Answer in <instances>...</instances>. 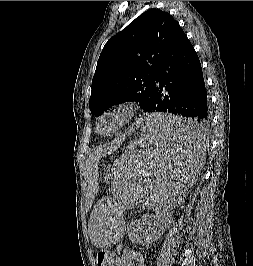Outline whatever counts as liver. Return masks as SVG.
<instances>
[{
  "instance_id": "obj_1",
  "label": "liver",
  "mask_w": 253,
  "mask_h": 266,
  "mask_svg": "<svg viewBox=\"0 0 253 266\" xmlns=\"http://www.w3.org/2000/svg\"><path fill=\"white\" fill-rule=\"evenodd\" d=\"M123 139H117L105 146L99 147L95 149L88 157L86 165L89 169H92L93 167L97 168V164L99 160L105 156L111 154L114 150H116L120 144L122 143ZM93 215V212L92 214ZM94 243V242H93ZM100 247V246H98Z\"/></svg>"
}]
</instances>
